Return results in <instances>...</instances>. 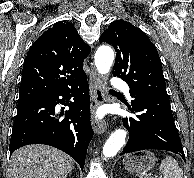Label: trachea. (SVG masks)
<instances>
[{"instance_id":"1","label":"trachea","mask_w":194,"mask_h":178,"mask_svg":"<svg viewBox=\"0 0 194 178\" xmlns=\"http://www.w3.org/2000/svg\"><path fill=\"white\" fill-rule=\"evenodd\" d=\"M110 92H114V90H110Z\"/></svg>"}]
</instances>
